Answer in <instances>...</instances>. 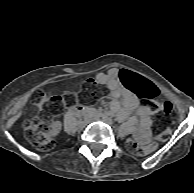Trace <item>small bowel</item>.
Wrapping results in <instances>:
<instances>
[{
  "label": "small bowel",
  "mask_w": 194,
  "mask_h": 193,
  "mask_svg": "<svg viewBox=\"0 0 194 193\" xmlns=\"http://www.w3.org/2000/svg\"><path fill=\"white\" fill-rule=\"evenodd\" d=\"M95 80L100 85L108 87L109 95L113 99L110 107L119 120L125 121L132 112L136 113L139 118L136 138L142 143H148L150 140L151 109L146 105H139L137 94L121 82L119 70L112 68L105 73H99ZM152 86L158 92L153 84Z\"/></svg>",
  "instance_id": "1"
}]
</instances>
